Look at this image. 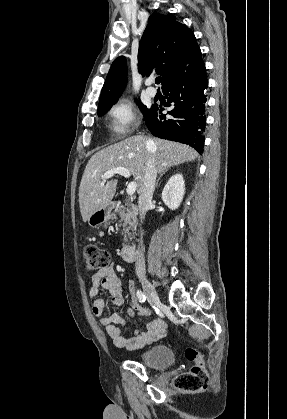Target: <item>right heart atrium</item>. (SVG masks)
<instances>
[{
	"label": "right heart atrium",
	"instance_id": "right-heart-atrium-1",
	"mask_svg": "<svg viewBox=\"0 0 287 419\" xmlns=\"http://www.w3.org/2000/svg\"><path fill=\"white\" fill-rule=\"evenodd\" d=\"M108 117L109 129L115 136L129 133L136 122L134 107L124 98L119 99L110 107Z\"/></svg>",
	"mask_w": 287,
	"mask_h": 419
}]
</instances>
